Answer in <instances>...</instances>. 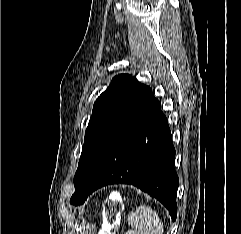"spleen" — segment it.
Here are the masks:
<instances>
[{
  "label": "spleen",
  "mask_w": 241,
  "mask_h": 234,
  "mask_svg": "<svg viewBox=\"0 0 241 234\" xmlns=\"http://www.w3.org/2000/svg\"><path fill=\"white\" fill-rule=\"evenodd\" d=\"M131 230L126 234H163V223L151 207L140 205L128 217Z\"/></svg>",
  "instance_id": "1"
}]
</instances>
